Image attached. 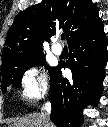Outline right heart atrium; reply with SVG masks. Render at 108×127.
Instances as JSON below:
<instances>
[{
  "label": "right heart atrium",
  "instance_id": "d8ad5b80",
  "mask_svg": "<svg viewBox=\"0 0 108 127\" xmlns=\"http://www.w3.org/2000/svg\"><path fill=\"white\" fill-rule=\"evenodd\" d=\"M20 83L23 97L30 101L45 96L49 88L47 72L37 65L30 66L23 72Z\"/></svg>",
  "mask_w": 108,
  "mask_h": 127
}]
</instances>
